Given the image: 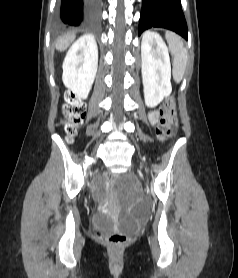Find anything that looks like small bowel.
Instances as JSON below:
<instances>
[{
	"mask_svg": "<svg viewBox=\"0 0 238 278\" xmlns=\"http://www.w3.org/2000/svg\"><path fill=\"white\" fill-rule=\"evenodd\" d=\"M150 120H151L153 123L157 122V120H158V114H157V112H152V113L150 114Z\"/></svg>",
	"mask_w": 238,
	"mask_h": 278,
	"instance_id": "c3829d8e",
	"label": "small bowel"
}]
</instances>
